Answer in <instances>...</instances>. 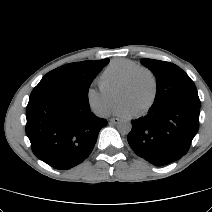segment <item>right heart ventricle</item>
<instances>
[{"label":"right heart ventricle","instance_id":"e07e8e85","mask_svg":"<svg viewBox=\"0 0 212 212\" xmlns=\"http://www.w3.org/2000/svg\"><path fill=\"white\" fill-rule=\"evenodd\" d=\"M139 64L129 59H117L111 62L100 76V87L109 91L117 92L129 75Z\"/></svg>","mask_w":212,"mask_h":212}]
</instances>
